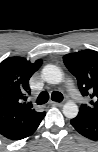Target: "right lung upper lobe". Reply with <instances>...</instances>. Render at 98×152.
Here are the masks:
<instances>
[{"label":"right lung upper lobe","instance_id":"right-lung-upper-lobe-1","mask_svg":"<svg viewBox=\"0 0 98 152\" xmlns=\"http://www.w3.org/2000/svg\"><path fill=\"white\" fill-rule=\"evenodd\" d=\"M42 63H31L22 57H10L0 63V134L4 137L17 133L42 114L26 101L29 79Z\"/></svg>","mask_w":98,"mask_h":152}]
</instances>
